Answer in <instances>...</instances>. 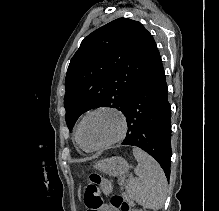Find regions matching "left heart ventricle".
I'll list each match as a JSON object with an SVG mask.
<instances>
[{"instance_id":"obj_1","label":"left heart ventricle","mask_w":219,"mask_h":211,"mask_svg":"<svg viewBox=\"0 0 219 211\" xmlns=\"http://www.w3.org/2000/svg\"><path fill=\"white\" fill-rule=\"evenodd\" d=\"M120 121L116 115L110 112H98L90 115L81 128V140L85 147L99 146L119 131Z\"/></svg>"}]
</instances>
